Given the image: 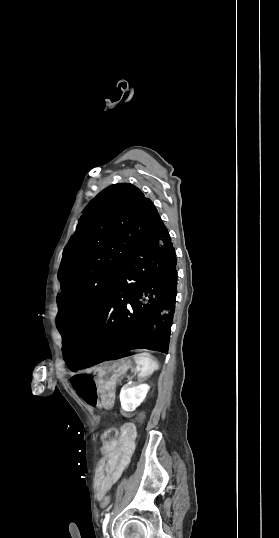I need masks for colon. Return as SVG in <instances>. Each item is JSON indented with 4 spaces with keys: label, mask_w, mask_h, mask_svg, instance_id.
<instances>
[{
    "label": "colon",
    "mask_w": 279,
    "mask_h": 538,
    "mask_svg": "<svg viewBox=\"0 0 279 538\" xmlns=\"http://www.w3.org/2000/svg\"><path fill=\"white\" fill-rule=\"evenodd\" d=\"M117 438H118V431L115 428H110L106 430L102 435V441L104 445L113 444L117 440ZM105 460H106V455L102 452V455L98 460L97 468H96L97 480L102 475ZM109 504H110V497L106 495L102 498L101 505L102 507L105 508V507H108Z\"/></svg>",
    "instance_id": "obj_1"
}]
</instances>
